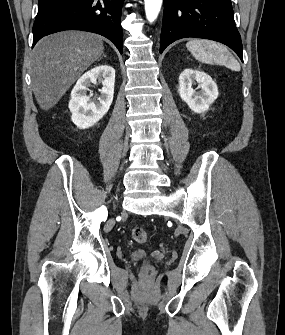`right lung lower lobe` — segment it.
<instances>
[{
    "mask_svg": "<svg viewBox=\"0 0 285 335\" xmlns=\"http://www.w3.org/2000/svg\"><path fill=\"white\" fill-rule=\"evenodd\" d=\"M124 0H38L33 46L44 36L64 30L100 34L123 52L121 9Z\"/></svg>",
    "mask_w": 285,
    "mask_h": 335,
    "instance_id": "98d812e1",
    "label": "right lung lower lobe"
}]
</instances>
